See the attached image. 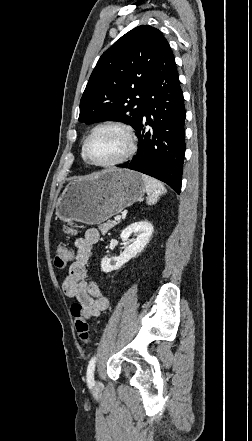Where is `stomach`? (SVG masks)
<instances>
[{
  "label": "stomach",
  "instance_id": "obj_1",
  "mask_svg": "<svg viewBox=\"0 0 252 441\" xmlns=\"http://www.w3.org/2000/svg\"><path fill=\"white\" fill-rule=\"evenodd\" d=\"M145 191L140 173L105 170L69 182L55 201V214L62 221L99 224L139 201Z\"/></svg>",
  "mask_w": 252,
  "mask_h": 441
}]
</instances>
